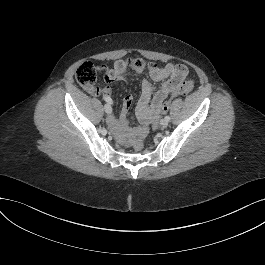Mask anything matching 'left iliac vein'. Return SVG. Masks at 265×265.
I'll return each instance as SVG.
<instances>
[{
    "mask_svg": "<svg viewBox=\"0 0 265 265\" xmlns=\"http://www.w3.org/2000/svg\"><path fill=\"white\" fill-rule=\"evenodd\" d=\"M160 125H161L162 127H167V126H168V121H167L166 119H161V120H160Z\"/></svg>",
    "mask_w": 265,
    "mask_h": 265,
    "instance_id": "4c4485c4",
    "label": "left iliac vein"
}]
</instances>
